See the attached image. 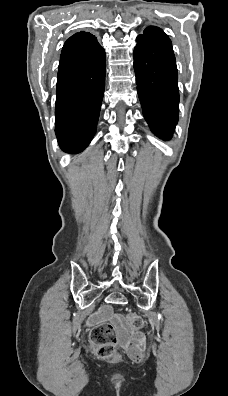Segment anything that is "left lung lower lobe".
<instances>
[{
	"mask_svg": "<svg viewBox=\"0 0 228 396\" xmlns=\"http://www.w3.org/2000/svg\"><path fill=\"white\" fill-rule=\"evenodd\" d=\"M134 70L143 115L152 132L170 139L178 122V74L172 43L158 27L138 35Z\"/></svg>",
	"mask_w": 228,
	"mask_h": 396,
	"instance_id": "obj_1",
	"label": "left lung lower lobe"
}]
</instances>
